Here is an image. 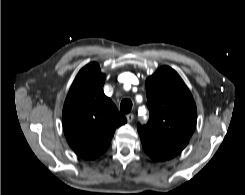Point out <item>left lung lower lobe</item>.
<instances>
[{
	"instance_id": "left-lung-lower-lobe-1",
	"label": "left lung lower lobe",
	"mask_w": 245,
	"mask_h": 195,
	"mask_svg": "<svg viewBox=\"0 0 245 195\" xmlns=\"http://www.w3.org/2000/svg\"><path fill=\"white\" fill-rule=\"evenodd\" d=\"M142 146H143L144 151L147 153V155H149L152 159H154L156 161H165V160L171 159L177 155V154L172 153V152H166V151L159 150V149H157L151 145H148L144 142H142Z\"/></svg>"
}]
</instances>
